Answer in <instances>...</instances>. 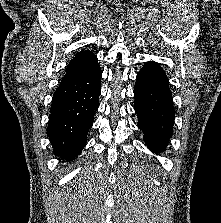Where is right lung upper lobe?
<instances>
[{
  "label": "right lung upper lobe",
  "mask_w": 221,
  "mask_h": 223,
  "mask_svg": "<svg viewBox=\"0 0 221 223\" xmlns=\"http://www.w3.org/2000/svg\"><path fill=\"white\" fill-rule=\"evenodd\" d=\"M97 65V58L91 51L85 50L77 53L69 63L67 72L60 84L81 77Z\"/></svg>",
  "instance_id": "right-lung-upper-lobe-1"
}]
</instances>
